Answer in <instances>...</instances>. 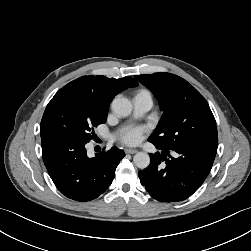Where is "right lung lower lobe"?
Segmentation results:
<instances>
[{
	"instance_id": "1",
	"label": "right lung lower lobe",
	"mask_w": 251,
	"mask_h": 251,
	"mask_svg": "<svg viewBox=\"0 0 251 251\" xmlns=\"http://www.w3.org/2000/svg\"><path fill=\"white\" fill-rule=\"evenodd\" d=\"M41 143L43 161L55 186L76 201H90L102 194L125 155L112 147L89 158L86 143L66 136L42 137Z\"/></svg>"
}]
</instances>
